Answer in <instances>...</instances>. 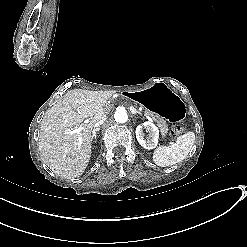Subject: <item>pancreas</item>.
<instances>
[{"label": "pancreas", "mask_w": 247, "mask_h": 247, "mask_svg": "<svg viewBox=\"0 0 247 247\" xmlns=\"http://www.w3.org/2000/svg\"><path fill=\"white\" fill-rule=\"evenodd\" d=\"M147 113H151V110H147ZM152 115H155V112H152ZM156 119H160L159 114H156ZM159 127H160V131H161L162 136H166L167 131H168V124H166L165 121L160 120Z\"/></svg>", "instance_id": "obj_1"}]
</instances>
